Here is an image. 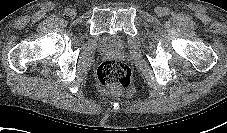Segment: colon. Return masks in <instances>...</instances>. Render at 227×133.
<instances>
[{
  "mask_svg": "<svg viewBox=\"0 0 227 133\" xmlns=\"http://www.w3.org/2000/svg\"><path fill=\"white\" fill-rule=\"evenodd\" d=\"M98 83L104 88L126 90L131 84V71L127 65L116 59L103 61L97 69Z\"/></svg>",
  "mask_w": 227,
  "mask_h": 133,
  "instance_id": "colon-1",
  "label": "colon"
}]
</instances>
